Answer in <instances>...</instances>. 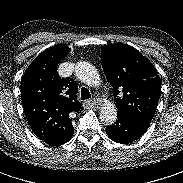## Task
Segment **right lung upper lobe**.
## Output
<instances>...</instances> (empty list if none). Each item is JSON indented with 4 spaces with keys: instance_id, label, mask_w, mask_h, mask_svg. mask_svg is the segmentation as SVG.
<instances>
[{
    "instance_id": "obj_1",
    "label": "right lung upper lobe",
    "mask_w": 183,
    "mask_h": 183,
    "mask_svg": "<svg viewBox=\"0 0 183 183\" xmlns=\"http://www.w3.org/2000/svg\"><path fill=\"white\" fill-rule=\"evenodd\" d=\"M70 49L57 44L42 52L21 78V99L29 125L46 143L72 138L71 116L83 107L77 100V84L72 78H61L57 65Z\"/></svg>"
}]
</instances>
